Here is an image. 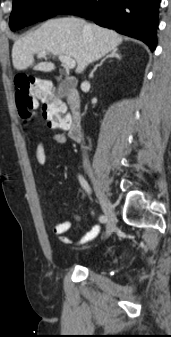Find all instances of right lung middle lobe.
<instances>
[{
    "mask_svg": "<svg viewBox=\"0 0 171 337\" xmlns=\"http://www.w3.org/2000/svg\"><path fill=\"white\" fill-rule=\"evenodd\" d=\"M76 0H13L9 26L12 31L57 15Z\"/></svg>",
    "mask_w": 171,
    "mask_h": 337,
    "instance_id": "1",
    "label": "right lung middle lobe"
}]
</instances>
